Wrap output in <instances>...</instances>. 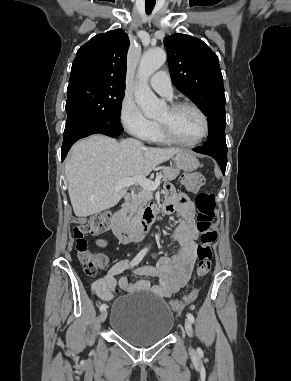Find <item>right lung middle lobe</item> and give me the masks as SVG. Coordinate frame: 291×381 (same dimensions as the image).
<instances>
[{
	"mask_svg": "<svg viewBox=\"0 0 291 381\" xmlns=\"http://www.w3.org/2000/svg\"><path fill=\"white\" fill-rule=\"evenodd\" d=\"M124 90L125 87L87 82L69 84L64 134L69 132L72 123L81 131L102 123L119 122Z\"/></svg>",
	"mask_w": 291,
	"mask_h": 381,
	"instance_id": "dd1d6c3e",
	"label": "right lung middle lobe"
}]
</instances>
